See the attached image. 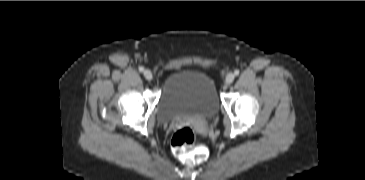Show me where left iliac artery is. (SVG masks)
<instances>
[{"mask_svg": "<svg viewBox=\"0 0 365 180\" xmlns=\"http://www.w3.org/2000/svg\"><path fill=\"white\" fill-rule=\"evenodd\" d=\"M239 73H240V72H239V70H235V71H234V74H235L236 76H237V75H239Z\"/></svg>", "mask_w": 365, "mask_h": 180, "instance_id": "1", "label": "left iliac artery"}]
</instances>
